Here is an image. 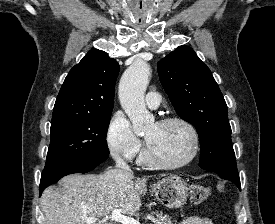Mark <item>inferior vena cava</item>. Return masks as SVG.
Instances as JSON below:
<instances>
[{
  "label": "inferior vena cava",
  "instance_id": "obj_1",
  "mask_svg": "<svg viewBox=\"0 0 275 224\" xmlns=\"http://www.w3.org/2000/svg\"><path fill=\"white\" fill-rule=\"evenodd\" d=\"M113 158L116 162V167L121 169L126 176H130L131 175V169L128 166V164L119 156V155H113Z\"/></svg>",
  "mask_w": 275,
  "mask_h": 224
}]
</instances>
